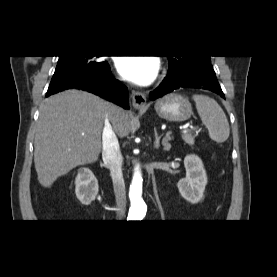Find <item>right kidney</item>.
Returning a JSON list of instances; mask_svg holds the SVG:
<instances>
[{"instance_id":"ca27d5eb","label":"right kidney","mask_w":277,"mask_h":277,"mask_svg":"<svg viewBox=\"0 0 277 277\" xmlns=\"http://www.w3.org/2000/svg\"><path fill=\"white\" fill-rule=\"evenodd\" d=\"M98 181L89 168H80L75 179V193L83 205H90L98 193Z\"/></svg>"}]
</instances>
